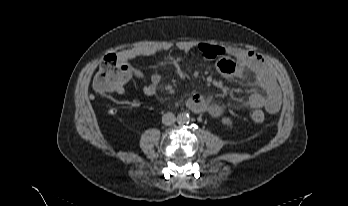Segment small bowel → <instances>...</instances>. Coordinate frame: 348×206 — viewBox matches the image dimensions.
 <instances>
[{
    "mask_svg": "<svg viewBox=\"0 0 348 206\" xmlns=\"http://www.w3.org/2000/svg\"><path fill=\"white\" fill-rule=\"evenodd\" d=\"M176 47L185 53L196 50L204 58L215 60L217 70L225 77L252 78L263 91V94L259 92L250 94L245 101V105L250 108H264L270 114L279 111L281 106L279 85L273 70L260 56L242 49H226L220 45L210 43L179 41ZM170 49L169 45L143 46L121 52L119 59L128 66L131 76L143 83V92L148 96H152L158 90L162 81L161 76L157 73L146 75L143 71L131 66L130 61ZM188 105L197 112L206 110L214 117H221L225 114L223 107L208 104L199 94H193L188 100Z\"/></svg>",
    "mask_w": 348,
    "mask_h": 206,
    "instance_id": "obj_1",
    "label": "small bowel"
}]
</instances>
